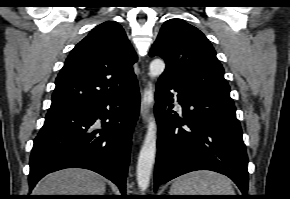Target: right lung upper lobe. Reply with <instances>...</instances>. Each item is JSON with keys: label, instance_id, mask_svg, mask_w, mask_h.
Returning <instances> with one entry per match:
<instances>
[{"label": "right lung upper lobe", "instance_id": "1", "mask_svg": "<svg viewBox=\"0 0 290 199\" xmlns=\"http://www.w3.org/2000/svg\"><path fill=\"white\" fill-rule=\"evenodd\" d=\"M137 61L123 28L114 21L95 27L66 59L56 78L47 115L87 106L126 90L136 81Z\"/></svg>", "mask_w": 290, "mask_h": 199}]
</instances>
